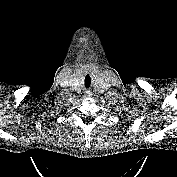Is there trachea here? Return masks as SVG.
<instances>
[{
	"mask_svg": "<svg viewBox=\"0 0 177 177\" xmlns=\"http://www.w3.org/2000/svg\"><path fill=\"white\" fill-rule=\"evenodd\" d=\"M87 77H89V79L91 80V78H90V76H89V75H86L85 79H86Z\"/></svg>",
	"mask_w": 177,
	"mask_h": 177,
	"instance_id": "trachea-1",
	"label": "trachea"
}]
</instances>
